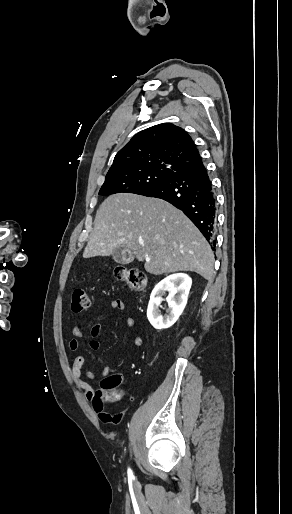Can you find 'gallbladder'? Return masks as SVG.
<instances>
[{
  "label": "gallbladder",
  "instance_id": "1",
  "mask_svg": "<svg viewBox=\"0 0 292 514\" xmlns=\"http://www.w3.org/2000/svg\"><path fill=\"white\" fill-rule=\"evenodd\" d=\"M111 256L117 264H124L122 248H116V250L112 252Z\"/></svg>",
  "mask_w": 292,
  "mask_h": 514
}]
</instances>
